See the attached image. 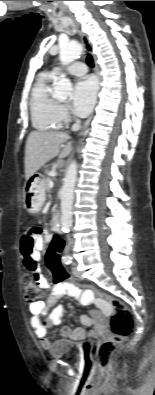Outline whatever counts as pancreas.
<instances>
[{"label":"pancreas","mask_w":155,"mask_h":395,"mask_svg":"<svg viewBox=\"0 0 155 395\" xmlns=\"http://www.w3.org/2000/svg\"><path fill=\"white\" fill-rule=\"evenodd\" d=\"M49 181H51V178H50V177H46V178L44 179V187H45V190H46V191H50Z\"/></svg>","instance_id":"cf45deb5"}]
</instances>
